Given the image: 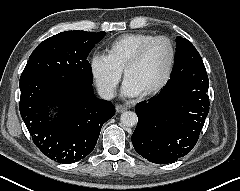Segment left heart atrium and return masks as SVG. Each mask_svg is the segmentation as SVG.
Returning <instances> with one entry per match:
<instances>
[{
    "label": "left heart atrium",
    "instance_id": "39dd6f15",
    "mask_svg": "<svg viewBox=\"0 0 240 191\" xmlns=\"http://www.w3.org/2000/svg\"><path fill=\"white\" fill-rule=\"evenodd\" d=\"M122 93L128 97H134L141 93L139 88L128 78H125Z\"/></svg>",
    "mask_w": 240,
    "mask_h": 191
}]
</instances>
